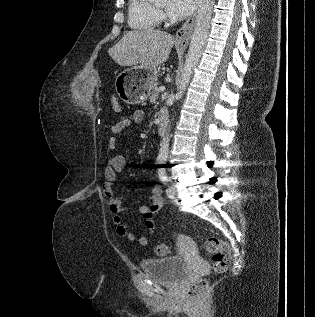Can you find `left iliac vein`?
Returning <instances> with one entry per match:
<instances>
[{
    "label": "left iliac vein",
    "mask_w": 315,
    "mask_h": 317,
    "mask_svg": "<svg viewBox=\"0 0 315 317\" xmlns=\"http://www.w3.org/2000/svg\"><path fill=\"white\" fill-rule=\"evenodd\" d=\"M166 192L169 197H174L177 194L176 186L172 184Z\"/></svg>",
    "instance_id": "obj_1"
}]
</instances>
